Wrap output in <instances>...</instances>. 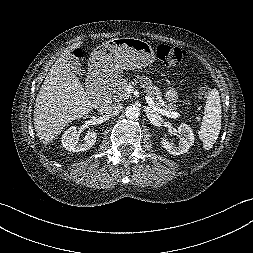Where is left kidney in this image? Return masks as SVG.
Segmentation results:
<instances>
[{
  "label": "left kidney",
  "instance_id": "left-kidney-1",
  "mask_svg": "<svg viewBox=\"0 0 253 253\" xmlns=\"http://www.w3.org/2000/svg\"><path fill=\"white\" fill-rule=\"evenodd\" d=\"M178 133L181 135L178 145L167 141L166 138L161 140L162 147L172 155H180L187 152L194 143V133L189 125L185 123L180 124Z\"/></svg>",
  "mask_w": 253,
  "mask_h": 253
}]
</instances>
